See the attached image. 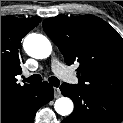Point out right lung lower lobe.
<instances>
[{
    "mask_svg": "<svg viewBox=\"0 0 123 123\" xmlns=\"http://www.w3.org/2000/svg\"><path fill=\"white\" fill-rule=\"evenodd\" d=\"M53 99V87L47 82L25 95L1 103V123H33L36 111Z\"/></svg>",
    "mask_w": 123,
    "mask_h": 123,
    "instance_id": "1",
    "label": "right lung lower lobe"
}]
</instances>
